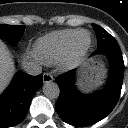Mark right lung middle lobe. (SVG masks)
<instances>
[{
  "instance_id": "right-lung-middle-lobe-1",
  "label": "right lung middle lobe",
  "mask_w": 128,
  "mask_h": 128,
  "mask_svg": "<svg viewBox=\"0 0 128 128\" xmlns=\"http://www.w3.org/2000/svg\"><path fill=\"white\" fill-rule=\"evenodd\" d=\"M24 26L0 25V37L17 42L21 39Z\"/></svg>"
}]
</instances>
